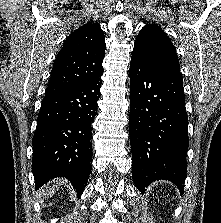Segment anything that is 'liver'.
I'll return each instance as SVG.
<instances>
[{"label":"liver","instance_id":"obj_1","mask_svg":"<svg viewBox=\"0 0 221 223\" xmlns=\"http://www.w3.org/2000/svg\"><path fill=\"white\" fill-rule=\"evenodd\" d=\"M62 184V181L59 179L54 180L53 182L49 183L39 191V195L43 196L44 198L51 197L54 194V188H57L59 185Z\"/></svg>","mask_w":221,"mask_h":223}]
</instances>
